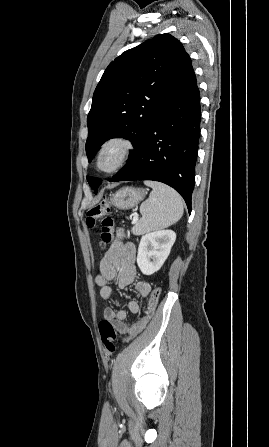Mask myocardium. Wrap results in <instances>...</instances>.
<instances>
[{
    "instance_id": "1",
    "label": "myocardium",
    "mask_w": 269,
    "mask_h": 447,
    "mask_svg": "<svg viewBox=\"0 0 269 447\" xmlns=\"http://www.w3.org/2000/svg\"><path fill=\"white\" fill-rule=\"evenodd\" d=\"M136 147L135 141L125 135H116L107 139L100 147L97 154V168L103 173H112L122 168L129 160ZM110 150L116 151V158L108 168H101L100 163L104 153Z\"/></svg>"
}]
</instances>
